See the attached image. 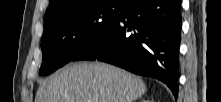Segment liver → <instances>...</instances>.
<instances>
[{
    "label": "liver",
    "mask_w": 221,
    "mask_h": 102,
    "mask_svg": "<svg viewBox=\"0 0 221 102\" xmlns=\"http://www.w3.org/2000/svg\"><path fill=\"white\" fill-rule=\"evenodd\" d=\"M147 88L140 77L95 62L66 66L44 81L35 102H134Z\"/></svg>",
    "instance_id": "6515ba94"
}]
</instances>
